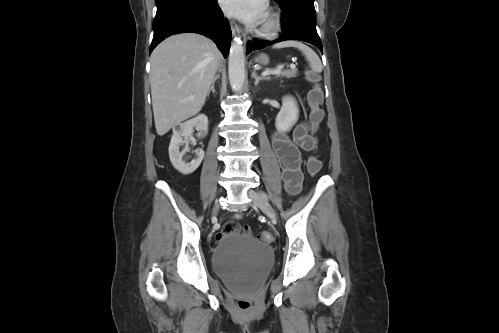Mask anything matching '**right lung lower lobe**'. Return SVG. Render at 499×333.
I'll return each mask as SVG.
<instances>
[{"label":"right lung lower lobe","mask_w":499,"mask_h":333,"mask_svg":"<svg viewBox=\"0 0 499 333\" xmlns=\"http://www.w3.org/2000/svg\"><path fill=\"white\" fill-rule=\"evenodd\" d=\"M154 36L150 53L165 38L178 33L191 32L205 35L212 39L227 57L230 41L223 39L222 34L231 38V30L217 0H164L157 5V13L153 22Z\"/></svg>","instance_id":"98d812e1"}]
</instances>
